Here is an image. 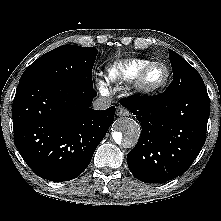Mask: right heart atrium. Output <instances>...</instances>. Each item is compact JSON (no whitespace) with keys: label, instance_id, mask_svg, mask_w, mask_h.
Here are the masks:
<instances>
[{"label":"right heart atrium","instance_id":"obj_1","mask_svg":"<svg viewBox=\"0 0 221 221\" xmlns=\"http://www.w3.org/2000/svg\"><path fill=\"white\" fill-rule=\"evenodd\" d=\"M98 85H99V88H100L101 90L104 89L102 82H99Z\"/></svg>","mask_w":221,"mask_h":221}]
</instances>
